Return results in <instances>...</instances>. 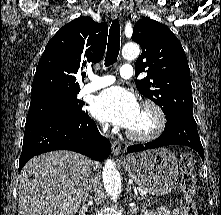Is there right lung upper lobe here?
<instances>
[{"label":"right lung upper lobe","instance_id":"1","mask_svg":"<svg viewBox=\"0 0 221 215\" xmlns=\"http://www.w3.org/2000/svg\"><path fill=\"white\" fill-rule=\"evenodd\" d=\"M108 26L90 17L64 25L47 43L32 84L31 101L80 91L76 74L99 62L107 43Z\"/></svg>","mask_w":221,"mask_h":215}]
</instances>
